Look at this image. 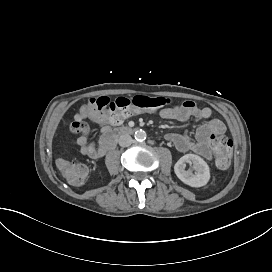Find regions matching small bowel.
I'll return each mask as SVG.
<instances>
[{
	"instance_id": "obj_1",
	"label": "small bowel",
	"mask_w": 272,
	"mask_h": 272,
	"mask_svg": "<svg viewBox=\"0 0 272 272\" xmlns=\"http://www.w3.org/2000/svg\"><path fill=\"white\" fill-rule=\"evenodd\" d=\"M159 116L163 119L175 121H186L191 118L199 121H206V123L197 126L195 139H192L187 132L170 133L167 134L166 138L181 153L193 152L205 159H212L214 146L209 143L208 136L213 131H218L223 136L226 128L221 120L211 118L212 111L210 108L199 107L194 101L186 100L181 104L161 109L159 111ZM88 118L98 123H105L100 116L93 117L92 114H89ZM75 143L83 156L92 160L101 159L102 154L100 153V150L94 143L88 141V137L76 139Z\"/></svg>"
}]
</instances>
